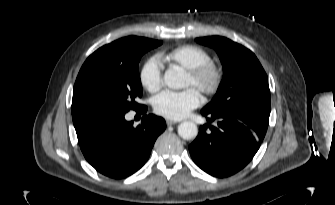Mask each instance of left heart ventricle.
<instances>
[{
	"instance_id": "left-heart-ventricle-1",
	"label": "left heart ventricle",
	"mask_w": 335,
	"mask_h": 205,
	"mask_svg": "<svg viewBox=\"0 0 335 205\" xmlns=\"http://www.w3.org/2000/svg\"><path fill=\"white\" fill-rule=\"evenodd\" d=\"M185 86L186 87L193 86L192 80L188 75L186 77Z\"/></svg>"
}]
</instances>
